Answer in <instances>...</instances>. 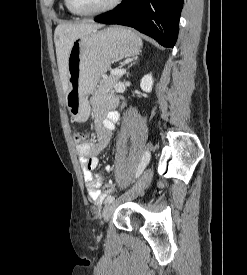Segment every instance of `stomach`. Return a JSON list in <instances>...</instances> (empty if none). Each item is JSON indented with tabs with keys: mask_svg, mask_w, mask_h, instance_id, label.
Segmentation results:
<instances>
[{
	"mask_svg": "<svg viewBox=\"0 0 247 275\" xmlns=\"http://www.w3.org/2000/svg\"><path fill=\"white\" fill-rule=\"evenodd\" d=\"M141 39L123 27H109L76 39L68 56L66 106L72 118L85 122L90 115L87 96L93 93L111 62L139 54Z\"/></svg>",
	"mask_w": 247,
	"mask_h": 275,
	"instance_id": "1",
	"label": "stomach"
}]
</instances>
